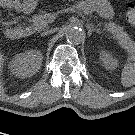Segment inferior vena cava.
I'll return each instance as SVG.
<instances>
[{"label": "inferior vena cava", "instance_id": "1", "mask_svg": "<svg viewBox=\"0 0 135 135\" xmlns=\"http://www.w3.org/2000/svg\"><path fill=\"white\" fill-rule=\"evenodd\" d=\"M53 32H55V29H53V30L51 29V30L45 31L44 33L41 34V36H45V35H48V34L53 33Z\"/></svg>", "mask_w": 135, "mask_h": 135}]
</instances>
